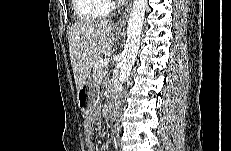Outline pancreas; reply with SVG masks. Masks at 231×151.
Returning <instances> with one entry per match:
<instances>
[{
  "label": "pancreas",
  "instance_id": "cf45deb5",
  "mask_svg": "<svg viewBox=\"0 0 231 151\" xmlns=\"http://www.w3.org/2000/svg\"><path fill=\"white\" fill-rule=\"evenodd\" d=\"M106 73V68L101 66V60H98L94 65L93 79L95 82H100Z\"/></svg>",
  "mask_w": 231,
  "mask_h": 151
}]
</instances>
